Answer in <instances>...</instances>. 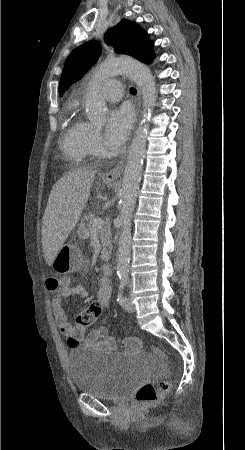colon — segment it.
Returning <instances> with one entry per match:
<instances>
[{
    "mask_svg": "<svg viewBox=\"0 0 245 450\" xmlns=\"http://www.w3.org/2000/svg\"><path fill=\"white\" fill-rule=\"evenodd\" d=\"M70 280L52 276L49 277L46 282V290L49 293L60 291ZM101 313V305L94 303L81 311L75 320V325L70 333L69 342L73 345H78L83 342L85 332L89 329L98 319ZM124 350L128 352H135L139 349V342L130 337L125 339L122 343ZM155 353L162 359L166 358V355L159 349H155ZM171 382L168 380L161 381L157 386L152 383L143 384L135 393L134 402L142 405H153L160 400L163 394L170 390Z\"/></svg>",
    "mask_w": 245,
    "mask_h": 450,
    "instance_id": "obj_1",
    "label": "colon"
}]
</instances>
